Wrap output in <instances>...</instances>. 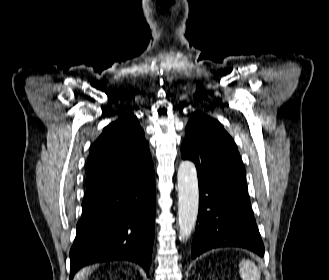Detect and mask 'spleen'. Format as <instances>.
I'll use <instances>...</instances> for the list:
<instances>
[{
  "label": "spleen",
  "mask_w": 329,
  "mask_h": 280,
  "mask_svg": "<svg viewBox=\"0 0 329 280\" xmlns=\"http://www.w3.org/2000/svg\"><path fill=\"white\" fill-rule=\"evenodd\" d=\"M239 273L243 280H260V271L250 260H242L240 262Z\"/></svg>",
  "instance_id": "obj_1"
}]
</instances>
